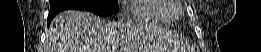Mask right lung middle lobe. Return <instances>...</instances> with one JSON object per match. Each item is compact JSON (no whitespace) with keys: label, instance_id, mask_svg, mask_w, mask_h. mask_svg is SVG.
I'll list each match as a JSON object with an SVG mask.
<instances>
[{"label":"right lung middle lobe","instance_id":"dd1d6c3e","mask_svg":"<svg viewBox=\"0 0 261 52\" xmlns=\"http://www.w3.org/2000/svg\"><path fill=\"white\" fill-rule=\"evenodd\" d=\"M51 10H86L99 16H108L118 10L117 0H50Z\"/></svg>","mask_w":261,"mask_h":52}]
</instances>
